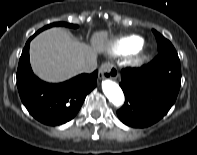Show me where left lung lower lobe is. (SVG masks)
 <instances>
[{
    "label": "left lung lower lobe",
    "mask_w": 197,
    "mask_h": 155,
    "mask_svg": "<svg viewBox=\"0 0 197 155\" xmlns=\"http://www.w3.org/2000/svg\"><path fill=\"white\" fill-rule=\"evenodd\" d=\"M181 85L178 55H159L140 68L121 71L120 87L124 105L119 119L130 127H148L167 114L175 103Z\"/></svg>",
    "instance_id": "0a47b994"
}]
</instances>
